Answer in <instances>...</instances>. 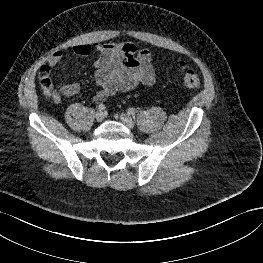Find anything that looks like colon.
<instances>
[{"label":"colon","mask_w":263,"mask_h":263,"mask_svg":"<svg viewBox=\"0 0 263 263\" xmlns=\"http://www.w3.org/2000/svg\"><path fill=\"white\" fill-rule=\"evenodd\" d=\"M178 66L183 71V82L186 87L190 89H197L201 85L198 75L187 68L184 61H179ZM40 86L44 94L51 95L53 91V83L50 77V69L48 66L41 67L39 71Z\"/></svg>","instance_id":"colon-1"}]
</instances>
